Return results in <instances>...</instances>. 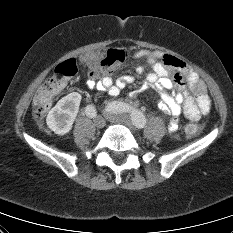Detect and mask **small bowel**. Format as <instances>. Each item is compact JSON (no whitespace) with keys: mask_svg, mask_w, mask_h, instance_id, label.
Segmentation results:
<instances>
[{"mask_svg":"<svg viewBox=\"0 0 233 233\" xmlns=\"http://www.w3.org/2000/svg\"><path fill=\"white\" fill-rule=\"evenodd\" d=\"M134 58L145 59L152 67V73L147 76L146 86L156 89L160 96V109L170 115L168 129L178 128V119L183 113L189 120L197 121L210 110V100L206 86L199 75L185 62L166 55L160 51L139 50ZM144 66L136 68L137 74H142ZM135 81L132 75H124L116 80L104 76L99 81L89 79L90 90L117 96L128 85Z\"/></svg>","mask_w":233,"mask_h":233,"instance_id":"obj_1","label":"small bowel"}]
</instances>
